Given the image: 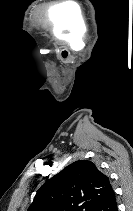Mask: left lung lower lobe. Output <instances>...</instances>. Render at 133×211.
<instances>
[{"mask_svg":"<svg viewBox=\"0 0 133 211\" xmlns=\"http://www.w3.org/2000/svg\"><path fill=\"white\" fill-rule=\"evenodd\" d=\"M92 211H117L115 192L112 191L101 200Z\"/></svg>","mask_w":133,"mask_h":211,"instance_id":"obj_1","label":"left lung lower lobe"}]
</instances>
